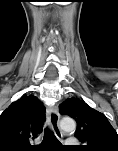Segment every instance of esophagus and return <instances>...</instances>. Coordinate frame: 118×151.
Segmentation results:
<instances>
[{"label": "esophagus", "instance_id": "34e87169", "mask_svg": "<svg viewBox=\"0 0 118 151\" xmlns=\"http://www.w3.org/2000/svg\"><path fill=\"white\" fill-rule=\"evenodd\" d=\"M47 119L52 130L58 138H62V132L59 128V112L56 106L47 109Z\"/></svg>", "mask_w": 118, "mask_h": 151}]
</instances>
